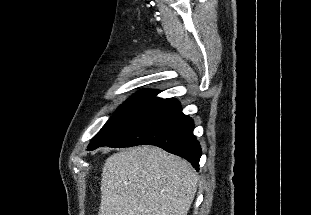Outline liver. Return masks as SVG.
Listing matches in <instances>:
<instances>
[{
  "instance_id": "6515ba94",
  "label": "liver",
  "mask_w": 311,
  "mask_h": 215,
  "mask_svg": "<svg viewBox=\"0 0 311 215\" xmlns=\"http://www.w3.org/2000/svg\"><path fill=\"white\" fill-rule=\"evenodd\" d=\"M197 186L186 160L158 147L128 148L103 166L98 215H187Z\"/></svg>"
}]
</instances>
